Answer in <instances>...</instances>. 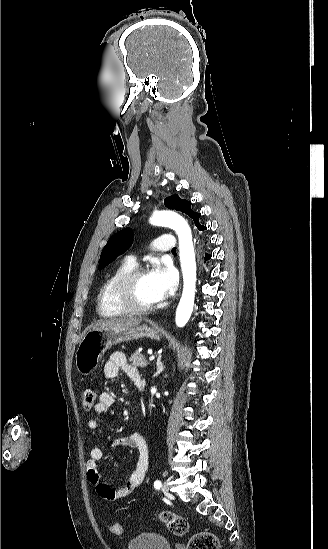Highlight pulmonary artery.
<instances>
[{
    "label": "pulmonary artery",
    "mask_w": 328,
    "mask_h": 549,
    "mask_svg": "<svg viewBox=\"0 0 328 549\" xmlns=\"http://www.w3.org/2000/svg\"><path fill=\"white\" fill-rule=\"evenodd\" d=\"M176 244L173 237H162L161 240L156 238L151 241L148 248L151 252H169ZM140 254L143 252L141 249L138 251Z\"/></svg>",
    "instance_id": "1"
}]
</instances>
